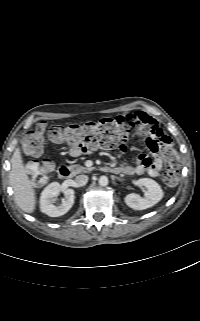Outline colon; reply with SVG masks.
<instances>
[{
    "mask_svg": "<svg viewBox=\"0 0 200 321\" xmlns=\"http://www.w3.org/2000/svg\"><path fill=\"white\" fill-rule=\"evenodd\" d=\"M133 130L146 131L141 124H133L121 116L106 118L95 122L71 124L67 126H51L41 122L34 131H30L23 138V149L27 155L38 156L42 151L44 133L54 143L67 144L75 153H85L97 148H124L125 142ZM166 171L163 181L173 187L180 177V161L173 150L165 154ZM54 164L51 159H44L41 163L30 166L29 171L36 184H42L53 172Z\"/></svg>",
    "mask_w": 200,
    "mask_h": 321,
    "instance_id": "colon-1",
    "label": "colon"
}]
</instances>
